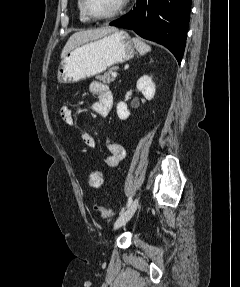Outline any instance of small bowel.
I'll use <instances>...</instances> for the list:
<instances>
[{"instance_id": "obj_1", "label": "small bowel", "mask_w": 240, "mask_h": 287, "mask_svg": "<svg viewBox=\"0 0 240 287\" xmlns=\"http://www.w3.org/2000/svg\"><path fill=\"white\" fill-rule=\"evenodd\" d=\"M90 92L97 97V101L93 103L92 110L100 116H107L113 106V95L110 88L100 81H94L90 84ZM61 119L68 125L75 126L77 124L73 111L66 105H62L59 109ZM80 136L83 143L87 147H94L95 140L93 136L84 128H80ZM105 149L108 155L104 159L107 167H116L126 156V151L120 144L108 139L105 143Z\"/></svg>"}]
</instances>
